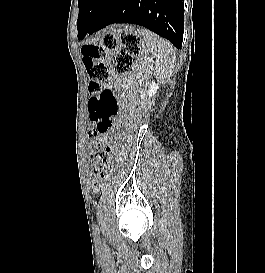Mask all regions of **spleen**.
<instances>
[{
  "label": "spleen",
  "instance_id": "obj_1",
  "mask_svg": "<svg viewBox=\"0 0 265 273\" xmlns=\"http://www.w3.org/2000/svg\"><path fill=\"white\" fill-rule=\"evenodd\" d=\"M140 33L144 38L147 50L152 54L149 61L156 60L152 71L161 83H166L176 60L172 45L149 30L143 29Z\"/></svg>",
  "mask_w": 265,
  "mask_h": 273
}]
</instances>
